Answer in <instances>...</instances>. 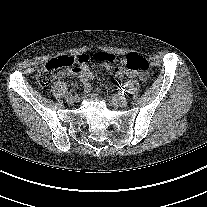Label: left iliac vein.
<instances>
[{
  "label": "left iliac vein",
  "mask_w": 207,
  "mask_h": 207,
  "mask_svg": "<svg viewBox=\"0 0 207 207\" xmlns=\"http://www.w3.org/2000/svg\"><path fill=\"white\" fill-rule=\"evenodd\" d=\"M109 102L113 107H124L127 105V99H124L123 96H110L109 97Z\"/></svg>",
  "instance_id": "obj_1"
}]
</instances>
